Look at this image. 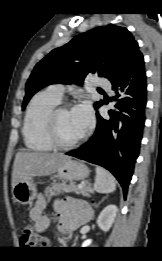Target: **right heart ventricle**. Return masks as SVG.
I'll return each instance as SVG.
<instances>
[{
	"mask_svg": "<svg viewBox=\"0 0 162 261\" xmlns=\"http://www.w3.org/2000/svg\"><path fill=\"white\" fill-rule=\"evenodd\" d=\"M61 98L48 89L38 92L31 99L23 122V138L28 149L47 152L53 149L47 134L45 121L48 113L57 106Z\"/></svg>",
	"mask_w": 162,
	"mask_h": 261,
	"instance_id": "1",
	"label": "right heart ventricle"
}]
</instances>
